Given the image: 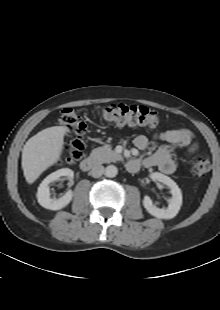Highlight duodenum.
Returning a JSON list of instances; mask_svg holds the SVG:
<instances>
[{
  "label": "duodenum",
  "instance_id": "1",
  "mask_svg": "<svg viewBox=\"0 0 220 310\" xmlns=\"http://www.w3.org/2000/svg\"><path fill=\"white\" fill-rule=\"evenodd\" d=\"M140 164L141 163L139 160L131 159L127 162V168L130 171L135 172L140 167ZM79 165L83 172H90L97 165V160L92 157H87L84 158Z\"/></svg>",
  "mask_w": 220,
  "mask_h": 310
}]
</instances>
